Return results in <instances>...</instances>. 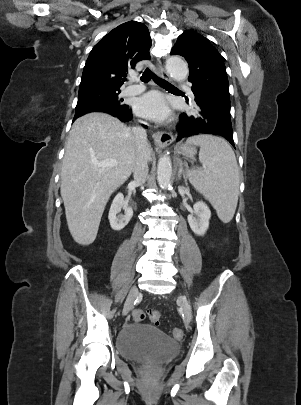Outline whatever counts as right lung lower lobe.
<instances>
[{
  "label": "right lung lower lobe",
  "mask_w": 301,
  "mask_h": 405,
  "mask_svg": "<svg viewBox=\"0 0 301 405\" xmlns=\"http://www.w3.org/2000/svg\"><path fill=\"white\" fill-rule=\"evenodd\" d=\"M100 112H104L107 114H110L114 117L119 118L121 121L126 122L132 119V112L130 109H125V110H115V109H105L101 110ZM79 116H74V120L78 118ZM145 128L147 126L143 125Z\"/></svg>",
  "instance_id": "right-lung-lower-lobe-1"
}]
</instances>
